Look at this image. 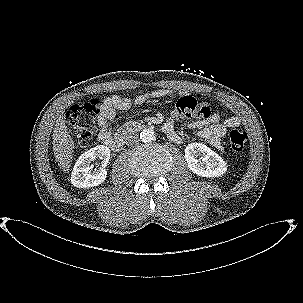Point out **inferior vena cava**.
<instances>
[{"mask_svg":"<svg viewBox=\"0 0 303 303\" xmlns=\"http://www.w3.org/2000/svg\"><path fill=\"white\" fill-rule=\"evenodd\" d=\"M139 136L136 133H129L126 135L125 143L127 146H134L138 144Z\"/></svg>","mask_w":303,"mask_h":303,"instance_id":"inferior-vena-cava-1","label":"inferior vena cava"}]
</instances>
